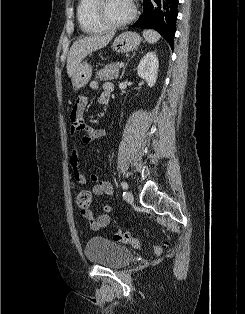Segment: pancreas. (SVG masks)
<instances>
[{
    "label": "pancreas",
    "mask_w": 245,
    "mask_h": 314,
    "mask_svg": "<svg viewBox=\"0 0 245 314\" xmlns=\"http://www.w3.org/2000/svg\"><path fill=\"white\" fill-rule=\"evenodd\" d=\"M119 75V63L105 65L102 69L96 72V79L108 81L117 79Z\"/></svg>",
    "instance_id": "pancreas-1"
}]
</instances>
